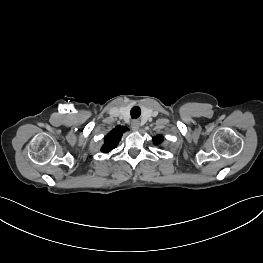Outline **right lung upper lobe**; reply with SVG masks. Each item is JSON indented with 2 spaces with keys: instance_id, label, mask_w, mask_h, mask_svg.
Instances as JSON below:
<instances>
[{
  "instance_id": "obj_1",
  "label": "right lung upper lobe",
  "mask_w": 263,
  "mask_h": 263,
  "mask_svg": "<svg viewBox=\"0 0 263 263\" xmlns=\"http://www.w3.org/2000/svg\"><path fill=\"white\" fill-rule=\"evenodd\" d=\"M127 130L124 126H116L104 139V145L101 151L107 153L114 149L120 141L123 133Z\"/></svg>"
}]
</instances>
